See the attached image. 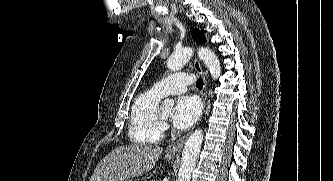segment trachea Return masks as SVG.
Instances as JSON below:
<instances>
[{
    "label": "trachea",
    "mask_w": 333,
    "mask_h": 181,
    "mask_svg": "<svg viewBox=\"0 0 333 181\" xmlns=\"http://www.w3.org/2000/svg\"><path fill=\"white\" fill-rule=\"evenodd\" d=\"M196 86L199 88V89H202L203 88V80L200 78L197 80L196 82Z\"/></svg>",
    "instance_id": "3493384b"
}]
</instances>
